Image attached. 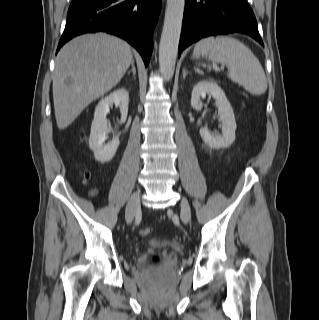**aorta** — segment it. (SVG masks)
Returning a JSON list of instances; mask_svg holds the SVG:
<instances>
[{"label": "aorta", "mask_w": 319, "mask_h": 320, "mask_svg": "<svg viewBox=\"0 0 319 320\" xmlns=\"http://www.w3.org/2000/svg\"><path fill=\"white\" fill-rule=\"evenodd\" d=\"M184 6L185 0H167L159 44V68L167 79H171L175 71Z\"/></svg>", "instance_id": "1"}]
</instances>
